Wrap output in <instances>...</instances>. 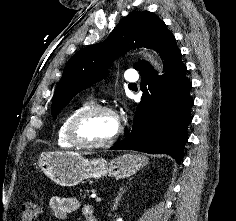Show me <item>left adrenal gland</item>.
Returning a JSON list of instances; mask_svg holds the SVG:
<instances>
[{
	"instance_id": "1",
	"label": "left adrenal gland",
	"mask_w": 236,
	"mask_h": 221,
	"mask_svg": "<svg viewBox=\"0 0 236 221\" xmlns=\"http://www.w3.org/2000/svg\"><path fill=\"white\" fill-rule=\"evenodd\" d=\"M126 189H127L126 185L119 188V191L117 192L114 202L112 203L111 211L117 210V206L119 204V201H120L122 195L125 193Z\"/></svg>"
}]
</instances>
